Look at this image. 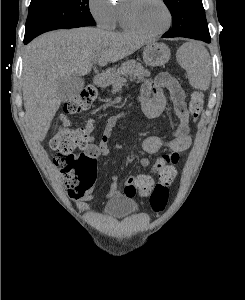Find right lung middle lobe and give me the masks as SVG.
Masks as SVG:
<instances>
[{
    "instance_id": "obj_1",
    "label": "right lung middle lobe",
    "mask_w": 245,
    "mask_h": 300,
    "mask_svg": "<svg viewBox=\"0 0 245 300\" xmlns=\"http://www.w3.org/2000/svg\"><path fill=\"white\" fill-rule=\"evenodd\" d=\"M95 26L88 0H31L24 39L60 28Z\"/></svg>"
}]
</instances>
